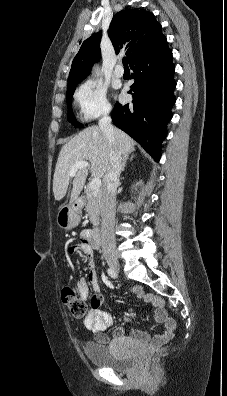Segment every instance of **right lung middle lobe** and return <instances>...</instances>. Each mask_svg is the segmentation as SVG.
I'll list each match as a JSON object with an SVG mask.
<instances>
[{
	"mask_svg": "<svg viewBox=\"0 0 227 396\" xmlns=\"http://www.w3.org/2000/svg\"><path fill=\"white\" fill-rule=\"evenodd\" d=\"M75 86L71 88L70 90H67V105H68V121L75 127H82L81 124H79L72 112L71 104H72V96L74 94Z\"/></svg>",
	"mask_w": 227,
	"mask_h": 396,
	"instance_id": "1",
	"label": "right lung middle lobe"
}]
</instances>
